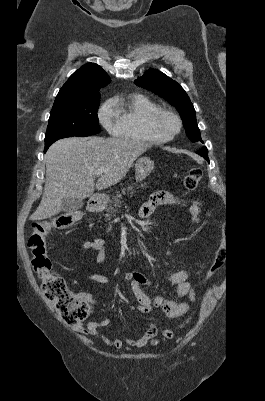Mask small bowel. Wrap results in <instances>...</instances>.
Masks as SVG:
<instances>
[{
  "instance_id": "small-bowel-1",
  "label": "small bowel",
  "mask_w": 265,
  "mask_h": 401,
  "mask_svg": "<svg viewBox=\"0 0 265 401\" xmlns=\"http://www.w3.org/2000/svg\"><path fill=\"white\" fill-rule=\"evenodd\" d=\"M160 205H171L180 206L186 205L185 202L178 198L177 196L171 194L167 191H159L153 193L148 201H146L140 208L139 215L141 218L150 217L155 209ZM189 211L191 213V220L193 224H196L200 220V214L203 212L202 203L200 201H194L188 205ZM206 214H209L206 211ZM82 250H94L96 251V261L99 265H102L105 261V242L101 238H96L93 241H88L82 244ZM190 272L187 270H180L174 272L167 276L166 283L171 289L172 293L176 297L188 296L190 302L195 301V290L189 281ZM86 279L99 283L108 284L109 279L107 276L92 273L86 276ZM124 279L130 282L132 292L138 303V308L142 313L149 314L153 312L155 308H161L165 313L167 319H174L190 308L189 303H177L172 300H168L163 296H156L155 298L149 297L143 290V286H152V281L147 278L144 274L139 271L133 270L125 274ZM80 297L90 301V296L88 294H81ZM110 319L105 318L98 322H90L86 326H78L76 329L84 334L88 335H99L100 329L106 328L110 325ZM158 330L157 327L152 325L144 333L143 336L139 338H114L108 339L101 336L105 343L115 348H122L124 345H128L134 348H144L151 343H156ZM162 337L166 338L163 335Z\"/></svg>"
}]
</instances>
